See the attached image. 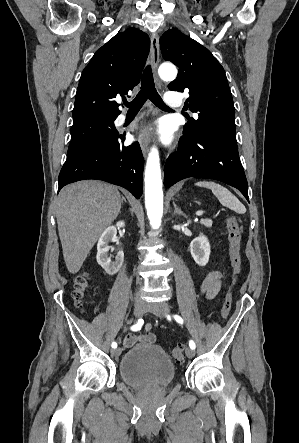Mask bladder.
<instances>
[{
    "instance_id": "31cf9c89",
    "label": "bladder",
    "mask_w": 299,
    "mask_h": 443,
    "mask_svg": "<svg viewBox=\"0 0 299 443\" xmlns=\"http://www.w3.org/2000/svg\"><path fill=\"white\" fill-rule=\"evenodd\" d=\"M119 375L136 389H163L175 380L176 367L157 344L140 343L128 349L119 362Z\"/></svg>"
}]
</instances>
